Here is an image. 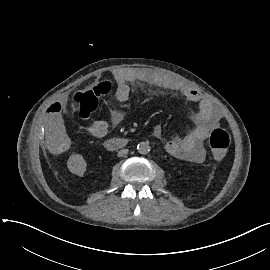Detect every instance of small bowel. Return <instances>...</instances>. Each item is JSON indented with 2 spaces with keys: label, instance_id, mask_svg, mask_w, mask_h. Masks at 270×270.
<instances>
[{
  "label": "small bowel",
  "instance_id": "c3829d8e",
  "mask_svg": "<svg viewBox=\"0 0 270 270\" xmlns=\"http://www.w3.org/2000/svg\"><path fill=\"white\" fill-rule=\"evenodd\" d=\"M117 87L114 98L118 102H126L130 95L129 83L138 82L151 86L174 91L185 97L187 100L197 105L195 117V128L184 137H174L166 143L167 151L178 157L186 158L193 163L200 164L206 158V151L203 141L209 132L215 127L220 119L218 112L212 103L202 97L200 93L188 86L167 77L164 73L148 68H128L115 74ZM123 116L119 112H113L111 123L103 119H96L90 122L85 130L90 135L102 138L106 136L111 126L121 123ZM46 154L51 159H60L65 150L74 146V138L67 134L66 109L59 104L57 97L48 99V109L46 111ZM154 137L162 138V129L155 127Z\"/></svg>",
  "mask_w": 270,
  "mask_h": 270
}]
</instances>
